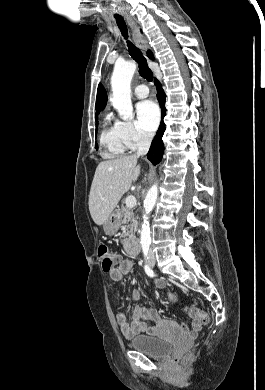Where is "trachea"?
<instances>
[{
  "label": "trachea",
  "mask_w": 265,
  "mask_h": 390,
  "mask_svg": "<svg viewBox=\"0 0 265 390\" xmlns=\"http://www.w3.org/2000/svg\"><path fill=\"white\" fill-rule=\"evenodd\" d=\"M116 23L122 33V36L127 40L128 39V30L126 23L123 18H116ZM127 46L131 57L138 63L140 75L147 79V81H152L153 74L148 67L145 57L142 55L141 51L127 40Z\"/></svg>",
  "instance_id": "3493384b"
}]
</instances>
